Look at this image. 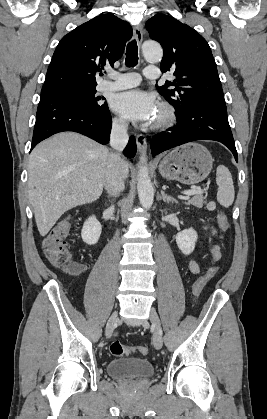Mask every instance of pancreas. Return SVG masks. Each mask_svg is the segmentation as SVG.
I'll use <instances>...</instances> for the list:
<instances>
[{
	"mask_svg": "<svg viewBox=\"0 0 267 419\" xmlns=\"http://www.w3.org/2000/svg\"><path fill=\"white\" fill-rule=\"evenodd\" d=\"M205 197L202 194H197L195 196H193L191 199L188 200V202L186 203L187 205H193L197 208H202L203 204H205Z\"/></svg>",
	"mask_w": 267,
	"mask_h": 419,
	"instance_id": "1",
	"label": "pancreas"
}]
</instances>
